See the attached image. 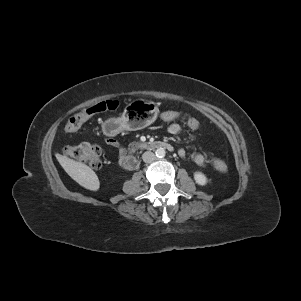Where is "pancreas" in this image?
<instances>
[{
	"mask_svg": "<svg viewBox=\"0 0 301 301\" xmlns=\"http://www.w3.org/2000/svg\"><path fill=\"white\" fill-rule=\"evenodd\" d=\"M141 146V143H138V142H132L130 144V150L134 151L136 150V148L140 147Z\"/></svg>",
	"mask_w": 301,
	"mask_h": 301,
	"instance_id": "cf45deb5",
	"label": "pancreas"
}]
</instances>
